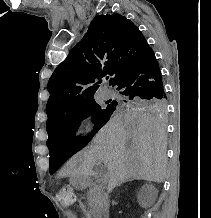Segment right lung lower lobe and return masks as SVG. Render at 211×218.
<instances>
[{"label": "right lung lower lobe", "instance_id": "1", "mask_svg": "<svg viewBox=\"0 0 211 218\" xmlns=\"http://www.w3.org/2000/svg\"><path fill=\"white\" fill-rule=\"evenodd\" d=\"M131 98H166L158 62L152 49L136 60L112 84Z\"/></svg>", "mask_w": 211, "mask_h": 218}]
</instances>
